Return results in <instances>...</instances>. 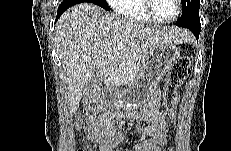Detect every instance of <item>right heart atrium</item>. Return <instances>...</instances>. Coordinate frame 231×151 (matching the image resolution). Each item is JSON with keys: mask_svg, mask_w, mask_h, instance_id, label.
<instances>
[{"mask_svg": "<svg viewBox=\"0 0 231 151\" xmlns=\"http://www.w3.org/2000/svg\"><path fill=\"white\" fill-rule=\"evenodd\" d=\"M120 0H109L108 3L115 9Z\"/></svg>", "mask_w": 231, "mask_h": 151, "instance_id": "d8ad5b80", "label": "right heart atrium"}]
</instances>
